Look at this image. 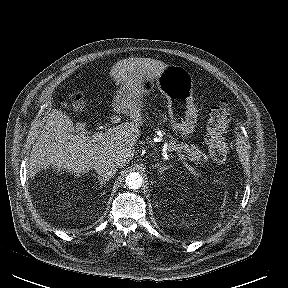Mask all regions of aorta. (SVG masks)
<instances>
[{
  "label": "aorta",
  "instance_id": "1",
  "mask_svg": "<svg viewBox=\"0 0 288 288\" xmlns=\"http://www.w3.org/2000/svg\"><path fill=\"white\" fill-rule=\"evenodd\" d=\"M125 183L129 189L136 190L142 186L143 177L139 172H131L126 176Z\"/></svg>",
  "mask_w": 288,
  "mask_h": 288
}]
</instances>
